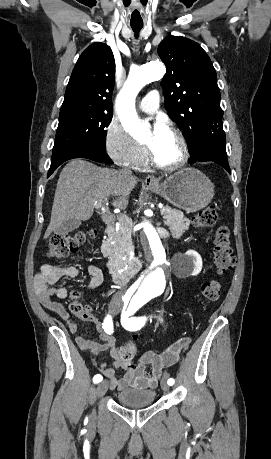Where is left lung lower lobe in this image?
<instances>
[{"label":"left lung lower lobe","instance_id":"left-lung-lower-lobe-1","mask_svg":"<svg viewBox=\"0 0 271 459\" xmlns=\"http://www.w3.org/2000/svg\"><path fill=\"white\" fill-rule=\"evenodd\" d=\"M198 161H213L231 174L226 154V138L223 130V122L210 128L203 134L202 150L197 157L190 160V163Z\"/></svg>","mask_w":271,"mask_h":459}]
</instances>
